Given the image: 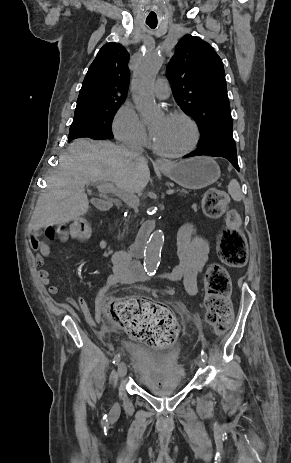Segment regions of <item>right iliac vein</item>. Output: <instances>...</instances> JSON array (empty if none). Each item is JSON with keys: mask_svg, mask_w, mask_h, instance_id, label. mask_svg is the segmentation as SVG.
Segmentation results:
<instances>
[{"mask_svg": "<svg viewBox=\"0 0 291 463\" xmlns=\"http://www.w3.org/2000/svg\"><path fill=\"white\" fill-rule=\"evenodd\" d=\"M117 371H118V375L120 378H124L127 374V366L124 362H120L118 364V368H117Z\"/></svg>", "mask_w": 291, "mask_h": 463, "instance_id": "1", "label": "right iliac vein"}]
</instances>
